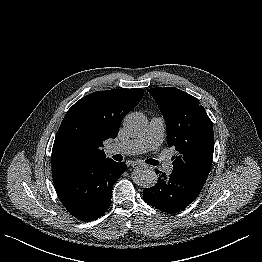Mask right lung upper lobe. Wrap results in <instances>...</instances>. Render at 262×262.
I'll list each match as a JSON object with an SVG mask.
<instances>
[{
    "instance_id": "obj_1",
    "label": "right lung upper lobe",
    "mask_w": 262,
    "mask_h": 262,
    "mask_svg": "<svg viewBox=\"0 0 262 262\" xmlns=\"http://www.w3.org/2000/svg\"><path fill=\"white\" fill-rule=\"evenodd\" d=\"M144 90L97 91L77 101L66 113L52 149V171L102 161L103 141L115 138L124 116L142 99Z\"/></svg>"
}]
</instances>
